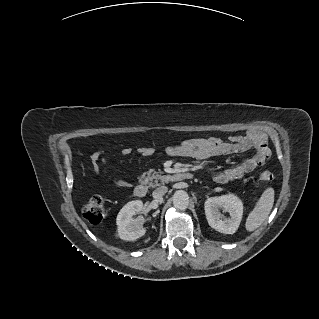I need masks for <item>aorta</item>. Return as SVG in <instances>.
Instances as JSON below:
<instances>
[{
    "mask_svg": "<svg viewBox=\"0 0 319 319\" xmlns=\"http://www.w3.org/2000/svg\"><path fill=\"white\" fill-rule=\"evenodd\" d=\"M173 205L178 210H185L189 205L188 193L184 190H177L173 197Z\"/></svg>",
    "mask_w": 319,
    "mask_h": 319,
    "instance_id": "1",
    "label": "aorta"
}]
</instances>
